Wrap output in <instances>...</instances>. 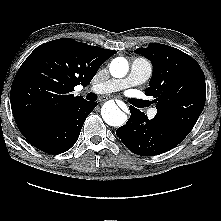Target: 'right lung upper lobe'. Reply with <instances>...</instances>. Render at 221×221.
<instances>
[{"label":"right lung upper lobe","mask_w":221,"mask_h":221,"mask_svg":"<svg viewBox=\"0 0 221 221\" xmlns=\"http://www.w3.org/2000/svg\"><path fill=\"white\" fill-rule=\"evenodd\" d=\"M115 53L66 38L37 47L19 68L11 87V108L23 136L85 102L82 96L71 94L74 87L88 85Z\"/></svg>","instance_id":"1"}]
</instances>
